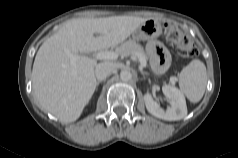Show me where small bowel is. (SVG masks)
I'll return each instance as SVG.
<instances>
[{"instance_id": "1", "label": "small bowel", "mask_w": 238, "mask_h": 158, "mask_svg": "<svg viewBox=\"0 0 238 158\" xmlns=\"http://www.w3.org/2000/svg\"><path fill=\"white\" fill-rule=\"evenodd\" d=\"M146 51L151 59L153 69L156 72H163L168 68L170 56L168 51L160 42H148L146 45Z\"/></svg>"}]
</instances>
